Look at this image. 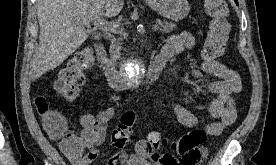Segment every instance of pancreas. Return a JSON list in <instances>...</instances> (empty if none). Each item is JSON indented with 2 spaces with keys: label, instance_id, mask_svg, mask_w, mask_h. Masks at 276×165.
Returning a JSON list of instances; mask_svg holds the SVG:
<instances>
[{
  "label": "pancreas",
  "instance_id": "pancreas-1",
  "mask_svg": "<svg viewBox=\"0 0 276 165\" xmlns=\"http://www.w3.org/2000/svg\"><path fill=\"white\" fill-rule=\"evenodd\" d=\"M157 23L160 24L161 28H160V32L162 33H169L170 31L173 30L174 27H176V24L175 23H172V22H167V21H164V22H161L160 20H157ZM120 42H114L112 45H111V48H110V57L113 61H116L117 59L120 58V51H121V47H120Z\"/></svg>",
  "mask_w": 276,
  "mask_h": 165
}]
</instances>
